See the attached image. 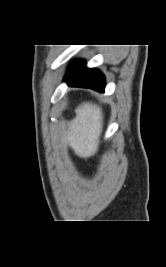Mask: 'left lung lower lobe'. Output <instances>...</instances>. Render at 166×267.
<instances>
[{"label": "left lung lower lobe", "mask_w": 166, "mask_h": 267, "mask_svg": "<svg viewBox=\"0 0 166 267\" xmlns=\"http://www.w3.org/2000/svg\"><path fill=\"white\" fill-rule=\"evenodd\" d=\"M84 66V61H76L70 66L65 76L68 85L104 92L105 82L101 72L96 69H87Z\"/></svg>", "instance_id": "left-lung-lower-lobe-1"}]
</instances>
